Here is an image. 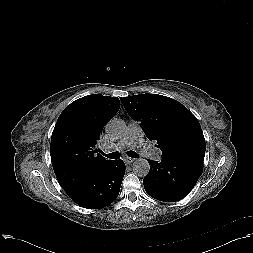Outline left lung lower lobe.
I'll use <instances>...</instances> for the list:
<instances>
[{
	"label": "left lung lower lobe",
	"instance_id": "obj_1",
	"mask_svg": "<svg viewBox=\"0 0 253 253\" xmlns=\"http://www.w3.org/2000/svg\"><path fill=\"white\" fill-rule=\"evenodd\" d=\"M203 160L192 156H162L160 162L149 160L150 171L143 179L146 192L160 201L181 200L202 174Z\"/></svg>",
	"mask_w": 253,
	"mask_h": 253
}]
</instances>
